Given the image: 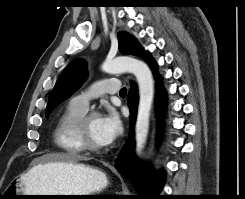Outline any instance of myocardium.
<instances>
[{"mask_svg":"<svg viewBox=\"0 0 245 199\" xmlns=\"http://www.w3.org/2000/svg\"><path fill=\"white\" fill-rule=\"evenodd\" d=\"M98 114L95 111L85 113L76 123L75 135L78 143L85 151L101 152L105 149L104 146L93 144L87 137L86 123L92 117H97Z\"/></svg>","mask_w":245,"mask_h":199,"instance_id":"f54148a6","label":"myocardium"}]
</instances>
